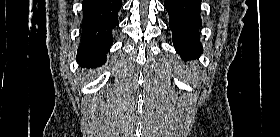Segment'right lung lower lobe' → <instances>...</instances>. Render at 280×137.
<instances>
[{
  "label": "right lung lower lobe",
  "mask_w": 280,
  "mask_h": 137,
  "mask_svg": "<svg viewBox=\"0 0 280 137\" xmlns=\"http://www.w3.org/2000/svg\"><path fill=\"white\" fill-rule=\"evenodd\" d=\"M121 7L122 0H83V35L77 50L79 63L100 66L105 62Z\"/></svg>",
  "instance_id": "98d812e1"
}]
</instances>
